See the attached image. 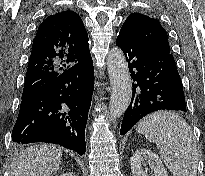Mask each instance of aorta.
<instances>
[{"label": "aorta", "mask_w": 205, "mask_h": 176, "mask_svg": "<svg viewBox=\"0 0 205 176\" xmlns=\"http://www.w3.org/2000/svg\"><path fill=\"white\" fill-rule=\"evenodd\" d=\"M107 67L112 89L107 117L112 120L126 111L132 96V85L121 49L115 47L109 52Z\"/></svg>", "instance_id": "1"}]
</instances>
